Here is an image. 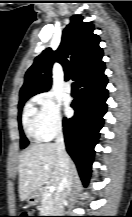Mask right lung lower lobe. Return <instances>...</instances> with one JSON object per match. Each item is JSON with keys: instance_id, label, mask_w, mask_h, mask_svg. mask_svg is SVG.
Returning a JSON list of instances; mask_svg holds the SVG:
<instances>
[{"instance_id": "1", "label": "right lung lower lobe", "mask_w": 132, "mask_h": 217, "mask_svg": "<svg viewBox=\"0 0 132 217\" xmlns=\"http://www.w3.org/2000/svg\"><path fill=\"white\" fill-rule=\"evenodd\" d=\"M106 85V76L79 85V94L71 104L75 115L63 119L66 150L74 160L85 186L89 181L94 147L98 143L99 130L103 127V115L107 109Z\"/></svg>"}]
</instances>
